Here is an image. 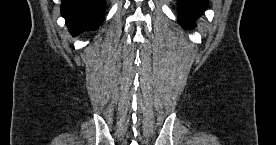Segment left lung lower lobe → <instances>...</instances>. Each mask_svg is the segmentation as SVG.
<instances>
[{
  "label": "left lung lower lobe",
  "mask_w": 276,
  "mask_h": 145,
  "mask_svg": "<svg viewBox=\"0 0 276 145\" xmlns=\"http://www.w3.org/2000/svg\"><path fill=\"white\" fill-rule=\"evenodd\" d=\"M206 4V0H178L181 26L193 29L196 18L204 13Z\"/></svg>",
  "instance_id": "0a47b994"
}]
</instances>
